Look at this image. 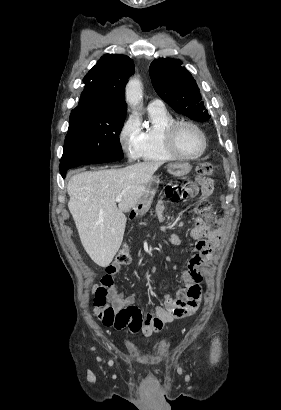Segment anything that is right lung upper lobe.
Segmentation results:
<instances>
[{"mask_svg":"<svg viewBox=\"0 0 281 410\" xmlns=\"http://www.w3.org/2000/svg\"><path fill=\"white\" fill-rule=\"evenodd\" d=\"M133 73L134 63L128 56H102L83 79L85 87L77 107L126 113L124 87Z\"/></svg>","mask_w":281,"mask_h":410,"instance_id":"1","label":"right lung upper lobe"}]
</instances>
